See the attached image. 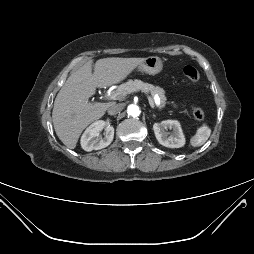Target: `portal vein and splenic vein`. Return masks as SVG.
<instances>
[{"mask_svg": "<svg viewBox=\"0 0 254 254\" xmlns=\"http://www.w3.org/2000/svg\"><path fill=\"white\" fill-rule=\"evenodd\" d=\"M106 97H107L108 99H110V100H115V99H118V98L121 97V93H120V92H115V93H112V94H108ZM147 98H148V100H149L150 106H151L152 108H154V101H153V99H152L149 95H147ZM159 102H160L159 98L156 97V98H155V103L159 104Z\"/></svg>", "mask_w": 254, "mask_h": 254, "instance_id": "18ae733b", "label": "portal vein and splenic vein"}]
</instances>
